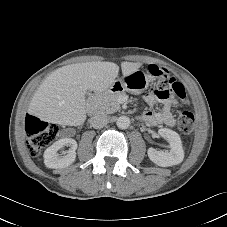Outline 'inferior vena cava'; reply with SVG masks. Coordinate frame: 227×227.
Returning a JSON list of instances; mask_svg holds the SVG:
<instances>
[{
    "label": "inferior vena cava",
    "instance_id": "1",
    "mask_svg": "<svg viewBox=\"0 0 227 227\" xmlns=\"http://www.w3.org/2000/svg\"><path fill=\"white\" fill-rule=\"evenodd\" d=\"M108 121L109 119L105 114L99 113L94 115L90 119V124L92 125L93 128L100 129L106 126L108 124Z\"/></svg>",
    "mask_w": 227,
    "mask_h": 227
}]
</instances>
